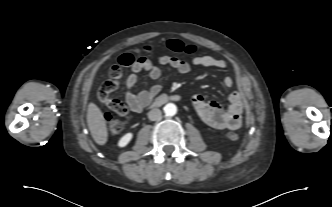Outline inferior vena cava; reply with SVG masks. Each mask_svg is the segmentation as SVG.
<instances>
[{"instance_id": "obj_1", "label": "inferior vena cava", "mask_w": 332, "mask_h": 207, "mask_svg": "<svg viewBox=\"0 0 332 207\" xmlns=\"http://www.w3.org/2000/svg\"><path fill=\"white\" fill-rule=\"evenodd\" d=\"M162 117V113H161V110L160 109H152L151 111H149L148 113V118L151 120V121H156V120H159L161 119Z\"/></svg>"}]
</instances>
